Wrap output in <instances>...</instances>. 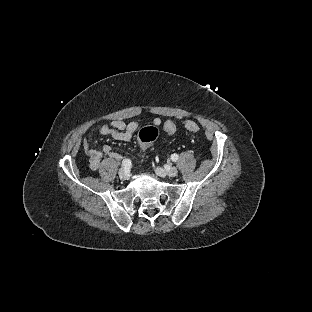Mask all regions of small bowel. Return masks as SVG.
Wrapping results in <instances>:
<instances>
[{
	"mask_svg": "<svg viewBox=\"0 0 312 312\" xmlns=\"http://www.w3.org/2000/svg\"><path fill=\"white\" fill-rule=\"evenodd\" d=\"M153 123L156 126H160L162 121L160 118L156 117L154 118ZM138 128L139 124L136 121L126 123L122 120H115L110 125L106 123L102 124L99 127V133L103 136L112 137L118 141H128L134 136ZM82 147L89 159L90 168L94 171L99 169L103 156H108L114 159L121 158V155L115 152L113 148L108 145L104 146L101 150L93 149L87 138L83 139Z\"/></svg>",
	"mask_w": 312,
	"mask_h": 312,
	"instance_id": "c3829d8e",
	"label": "small bowel"
}]
</instances>
